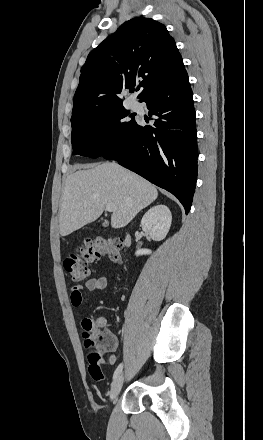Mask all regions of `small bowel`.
Returning <instances> with one entry per match:
<instances>
[{
  "label": "small bowel",
  "instance_id": "1",
  "mask_svg": "<svg viewBox=\"0 0 263 440\" xmlns=\"http://www.w3.org/2000/svg\"><path fill=\"white\" fill-rule=\"evenodd\" d=\"M110 278L108 276H98V277H91L88 278L83 284L73 286L71 288L70 293V303L74 307H79L83 303V293L85 291L87 292H93V291H100L107 288L109 285ZM96 325L100 328L104 327L106 325V320L104 318H97ZM109 333V332H108ZM112 341L107 347V351H115L118 347V340L117 338L112 334Z\"/></svg>",
  "mask_w": 263,
  "mask_h": 440
}]
</instances>
